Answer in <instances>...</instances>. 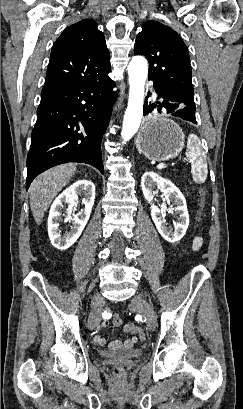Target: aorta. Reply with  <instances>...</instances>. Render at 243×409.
<instances>
[{"instance_id": "obj_1", "label": "aorta", "mask_w": 243, "mask_h": 409, "mask_svg": "<svg viewBox=\"0 0 243 409\" xmlns=\"http://www.w3.org/2000/svg\"><path fill=\"white\" fill-rule=\"evenodd\" d=\"M129 97L121 137L129 141L137 132L143 116L144 86L148 75L147 60L135 56L128 65Z\"/></svg>"}]
</instances>
